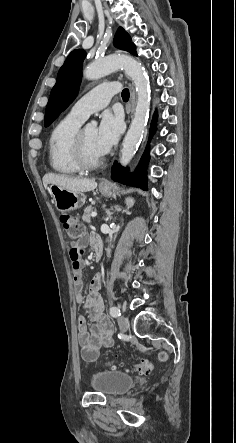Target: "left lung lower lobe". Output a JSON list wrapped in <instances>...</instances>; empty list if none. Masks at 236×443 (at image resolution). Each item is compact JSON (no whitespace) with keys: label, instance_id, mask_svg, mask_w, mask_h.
<instances>
[{"label":"left lung lower lobe","instance_id":"1","mask_svg":"<svg viewBox=\"0 0 236 443\" xmlns=\"http://www.w3.org/2000/svg\"><path fill=\"white\" fill-rule=\"evenodd\" d=\"M156 117H157V115L154 116L153 121L151 123V134H153L156 129V124H155ZM148 160H149V154H148V151L146 150L141 158V161H140L138 167L136 168V170L133 174H129L127 168H123L122 166L117 164V162H115L114 166L112 167V171H111L112 176L111 177L114 181H117L119 183L126 184L129 186L141 187L144 190H146L147 189V180H146L145 169H146V165H147Z\"/></svg>","mask_w":236,"mask_h":443}]
</instances>
